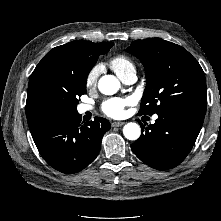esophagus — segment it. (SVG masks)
Returning a JSON list of instances; mask_svg holds the SVG:
<instances>
[{
  "label": "esophagus",
  "mask_w": 221,
  "mask_h": 221,
  "mask_svg": "<svg viewBox=\"0 0 221 221\" xmlns=\"http://www.w3.org/2000/svg\"><path fill=\"white\" fill-rule=\"evenodd\" d=\"M125 124V122H121V121H115L111 123L112 127H120L123 126Z\"/></svg>",
  "instance_id": "1"
}]
</instances>
